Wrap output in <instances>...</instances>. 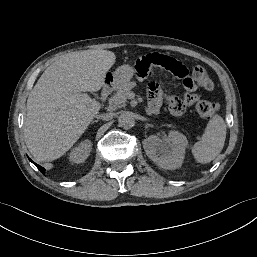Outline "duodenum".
I'll return each instance as SVG.
<instances>
[{"mask_svg":"<svg viewBox=\"0 0 257 257\" xmlns=\"http://www.w3.org/2000/svg\"><path fill=\"white\" fill-rule=\"evenodd\" d=\"M115 87H116V84L113 81L112 77L111 76L107 77L105 81V85L103 86L102 92H101L102 98L107 99L115 90Z\"/></svg>","mask_w":257,"mask_h":257,"instance_id":"duodenum-1","label":"duodenum"}]
</instances>
